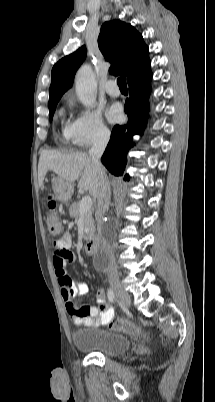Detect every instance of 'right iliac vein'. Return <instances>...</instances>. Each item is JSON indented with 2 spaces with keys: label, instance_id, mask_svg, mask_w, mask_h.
I'll return each mask as SVG.
<instances>
[{
  "label": "right iliac vein",
  "instance_id": "63e3f726",
  "mask_svg": "<svg viewBox=\"0 0 215 402\" xmlns=\"http://www.w3.org/2000/svg\"><path fill=\"white\" fill-rule=\"evenodd\" d=\"M112 289L114 290L117 297L121 300L123 305L126 308H129L131 306L130 295L119 284H113Z\"/></svg>",
  "mask_w": 215,
  "mask_h": 402
}]
</instances>
